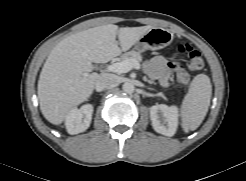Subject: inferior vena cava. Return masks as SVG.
<instances>
[{"label":"inferior vena cava","instance_id":"inferior-vena-cava-1","mask_svg":"<svg viewBox=\"0 0 246 181\" xmlns=\"http://www.w3.org/2000/svg\"><path fill=\"white\" fill-rule=\"evenodd\" d=\"M116 82V79L111 74H100L95 82V90L97 92H101L105 90L106 88L112 86Z\"/></svg>","mask_w":246,"mask_h":181}]
</instances>
